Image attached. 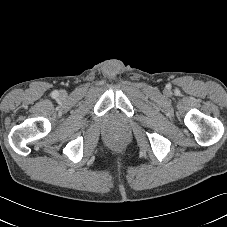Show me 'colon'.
<instances>
[{
    "instance_id": "obj_1",
    "label": "colon",
    "mask_w": 227,
    "mask_h": 227,
    "mask_svg": "<svg viewBox=\"0 0 227 227\" xmlns=\"http://www.w3.org/2000/svg\"><path fill=\"white\" fill-rule=\"evenodd\" d=\"M116 145H119V142H116Z\"/></svg>"
}]
</instances>
